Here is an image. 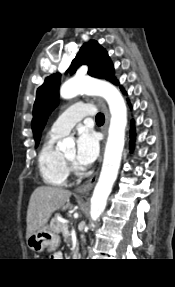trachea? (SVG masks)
Instances as JSON below:
<instances>
[{"mask_svg": "<svg viewBox=\"0 0 175 287\" xmlns=\"http://www.w3.org/2000/svg\"><path fill=\"white\" fill-rule=\"evenodd\" d=\"M105 121V117L102 113H98L96 116V122L97 123H104Z\"/></svg>", "mask_w": 175, "mask_h": 287, "instance_id": "obj_1", "label": "trachea"}]
</instances>
